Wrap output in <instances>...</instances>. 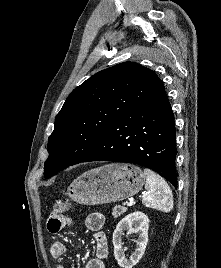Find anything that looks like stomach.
Instances as JSON below:
<instances>
[{
	"instance_id": "1",
	"label": "stomach",
	"mask_w": 221,
	"mask_h": 268,
	"mask_svg": "<svg viewBox=\"0 0 221 268\" xmlns=\"http://www.w3.org/2000/svg\"><path fill=\"white\" fill-rule=\"evenodd\" d=\"M145 178L143 171L136 165L111 163L77 177L68 186L67 195L82 205L118 202L137 194Z\"/></svg>"
}]
</instances>
